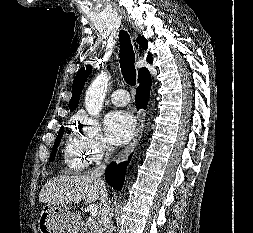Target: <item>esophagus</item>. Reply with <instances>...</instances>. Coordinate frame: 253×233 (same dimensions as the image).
Listing matches in <instances>:
<instances>
[{
    "mask_svg": "<svg viewBox=\"0 0 253 233\" xmlns=\"http://www.w3.org/2000/svg\"><path fill=\"white\" fill-rule=\"evenodd\" d=\"M144 121H145V113L143 110H140L137 114V128L134 137L129 143V145L125 147L124 150H122L121 153L119 154L117 159L118 162L125 160L138 144L142 136Z\"/></svg>",
    "mask_w": 253,
    "mask_h": 233,
    "instance_id": "34e87169",
    "label": "esophagus"
}]
</instances>
